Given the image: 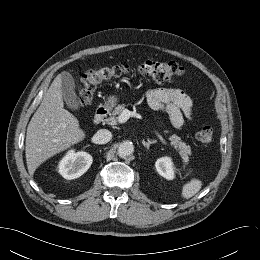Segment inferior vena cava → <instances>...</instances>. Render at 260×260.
I'll return each instance as SVG.
<instances>
[{"instance_id": "1", "label": "inferior vena cava", "mask_w": 260, "mask_h": 260, "mask_svg": "<svg viewBox=\"0 0 260 260\" xmlns=\"http://www.w3.org/2000/svg\"><path fill=\"white\" fill-rule=\"evenodd\" d=\"M112 138V133L107 129H100L96 132L93 139L97 144H106Z\"/></svg>"}]
</instances>
